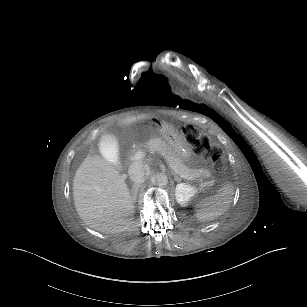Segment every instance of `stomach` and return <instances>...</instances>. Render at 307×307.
<instances>
[{"label": "stomach", "mask_w": 307, "mask_h": 307, "mask_svg": "<svg viewBox=\"0 0 307 307\" xmlns=\"http://www.w3.org/2000/svg\"><path fill=\"white\" fill-rule=\"evenodd\" d=\"M160 133L165 140L170 144L174 153L181 160L188 161L190 157V148L183 135L172 125L162 122Z\"/></svg>", "instance_id": "1"}]
</instances>
